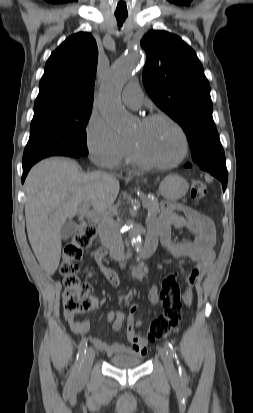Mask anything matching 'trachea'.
Segmentation results:
<instances>
[{
    "mask_svg": "<svg viewBox=\"0 0 253 413\" xmlns=\"http://www.w3.org/2000/svg\"><path fill=\"white\" fill-rule=\"evenodd\" d=\"M115 16L119 23V26H122V23L125 21L128 15L127 14H115Z\"/></svg>",
    "mask_w": 253,
    "mask_h": 413,
    "instance_id": "obj_1",
    "label": "trachea"
}]
</instances>
